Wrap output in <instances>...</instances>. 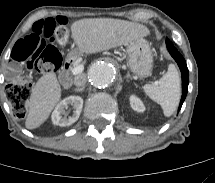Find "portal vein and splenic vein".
I'll return each mask as SVG.
<instances>
[{
    "label": "portal vein and splenic vein",
    "mask_w": 215,
    "mask_h": 183,
    "mask_svg": "<svg viewBox=\"0 0 215 183\" xmlns=\"http://www.w3.org/2000/svg\"><path fill=\"white\" fill-rule=\"evenodd\" d=\"M84 70V66L83 65H77L76 67H74L71 72L73 75H77L80 74L82 71Z\"/></svg>",
    "instance_id": "portal-vein-and-splenic-vein-1"
}]
</instances>
